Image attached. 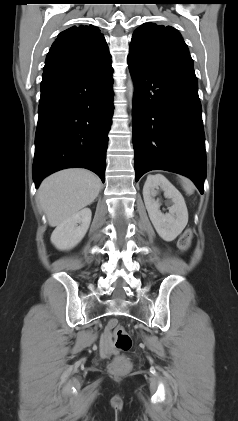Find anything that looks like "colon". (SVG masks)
I'll use <instances>...</instances> for the list:
<instances>
[{
  "instance_id": "5ec220e1",
  "label": "colon",
  "mask_w": 238,
  "mask_h": 421,
  "mask_svg": "<svg viewBox=\"0 0 238 421\" xmlns=\"http://www.w3.org/2000/svg\"><path fill=\"white\" fill-rule=\"evenodd\" d=\"M192 232L186 230L178 241V247L181 251H186L191 244ZM108 332L113 339L115 348L125 352L131 349L132 339L125 328L116 320H112L109 324ZM130 368V361L125 355H119L114 358L110 364V370L116 374H122Z\"/></svg>"
}]
</instances>
